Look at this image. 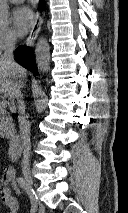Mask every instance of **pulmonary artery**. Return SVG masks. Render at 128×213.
<instances>
[{"label":"pulmonary artery","mask_w":128,"mask_h":213,"mask_svg":"<svg viewBox=\"0 0 128 213\" xmlns=\"http://www.w3.org/2000/svg\"><path fill=\"white\" fill-rule=\"evenodd\" d=\"M12 2H14V3H21V2H23L24 0H11Z\"/></svg>","instance_id":"1"}]
</instances>
